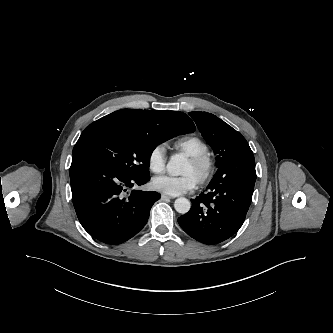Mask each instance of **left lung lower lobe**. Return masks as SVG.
<instances>
[{"mask_svg": "<svg viewBox=\"0 0 333 333\" xmlns=\"http://www.w3.org/2000/svg\"><path fill=\"white\" fill-rule=\"evenodd\" d=\"M256 181L251 149L241 151L223 163L190 210L178 218L182 229L204 244L221 243L242 226L252 201Z\"/></svg>", "mask_w": 333, "mask_h": 333, "instance_id": "left-lung-lower-lobe-1", "label": "left lung lower lobe"}]
</instances>
